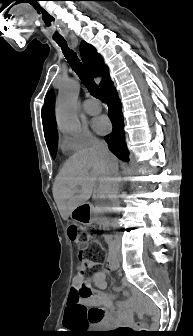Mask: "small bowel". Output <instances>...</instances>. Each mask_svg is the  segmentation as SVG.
Wrapping results in <instances>:
<instances>
[{
    "label": "small bowel",
    "instance_id": "small-bowel-1",
    "mask_svg": "<svg viewBox=\"0 0 193 336\" xmlns=\"http://www.w3.org/2000/svg\"><path fill=\"white\" fill-rule=\"evenodd\" d=\"M94 264L80 263L78 273L72 280L68 298L64 325L70 327L81 323L84 326H106L130 323L131 299L115 301V294L105 292L106 274L103 270L93 272L86 277L84 271L93 268ZM89 289L92 294L82 296V291ZM125 295L129 293L125 291Z\"/></svg>",
    "mask_w": 193,
    "mask_h": 336
}]
</instances>
